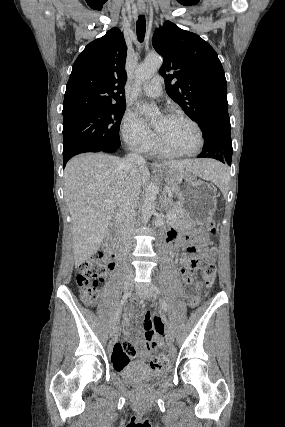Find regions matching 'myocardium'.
Instances as JSON below:
<instances>
[{"mask_svg": "<svg viewBox=\"0 0 285 427\" xmlns=\"http://www.w3.org/2000/svg\"><path fill=\"white\" fill-rule=\"evenodd\" d=\"M166 116L168 117H172V118H176V119H181L186 121L187 123H189L195 130L197 137H198V144L196 146L195 149L191 150V151H181L178 150L176 148H174L173 146H171L170 144L166 143L160 136L158 133H156V140L157 143L167 152H170L172 154L178 155V156H193L195 154H197L202 147L204 146V136H203V132L199 126V124L193 120L192 118H190L189 116L183 114V113H179V112H169L166 114Z\"/></svg>", "mask_w": 285, "mask_h": 427, "instance_id": "f54148a6", "label": "myocardium"}]
</instances>
